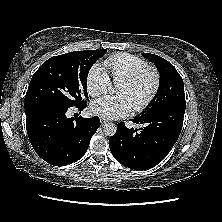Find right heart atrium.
Here are the masks:
<instances>
[{
	"label": "right heart atrium",
	"mask_w": 222,
	"mask_h": 222,
	"mask_svg": "<svg viewBox=\"0 0 222 222\" xmlns=\"http://www.w3.org/2000/svg\"><path fill=\"white\" fill-rule=\"evenodd\" d=\"M111 80L107 72L99 65H94L86 77V89L89 95L96 97L109 90Z\"/></svg>",
	"instance_id": "1"
}]
</instances>
